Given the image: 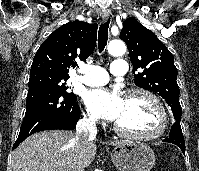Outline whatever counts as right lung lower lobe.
<instances>
[{"instance_id":"98d812e1","label":"right lung lower lobe","mask_w":199,"mask_h":171,"mask_svg":"<svg viewBox=\"0 0 199 171\" xmlns=\"http://www.w3.org/2000/svg\"><path fill=\"white\" fill-rule=\"evenodd\" d=\"M80 118L77 98L65 96L50 85L29 87L26 112L15 149L28 136L44 130L75 128Z\"/></svg>"}]
</instances>
